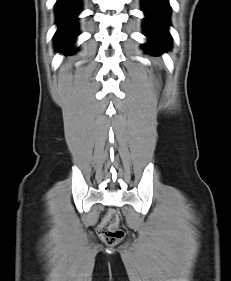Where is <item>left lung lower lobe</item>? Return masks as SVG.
I'll return each instance as SVG.
<instances>
[{"label":"left lung lower lobe","mask_w":231,"mask_h":281,"mask_svg":"<svg viewBox=\"0 0 231 281\" xmlns=\"http://www.w3.org/2000/svg\"><path fill=\"white\" fill-rule=\"evenodd\" d=\"M145 13L144 31L149 39L146 52L160 54L169 48L171 35L168 30L170 5L168 0H142Z\"/></svg>","instance_id":"obj_1"}]
</instances>
